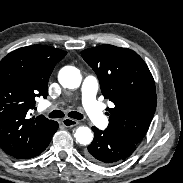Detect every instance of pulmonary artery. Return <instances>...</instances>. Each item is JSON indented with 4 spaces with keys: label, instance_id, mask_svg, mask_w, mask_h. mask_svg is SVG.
<instances>
[{
    "label": "pulmonary artery",
    "instance_id": "pulmonary-artery-1",
    "mask_svg": "<svg viewBox=\"0 0 183 183\" xmlns=\"http://www.w3.org/2000/svg\"><path fill=\"white\" fill-rule=\"evenodd\" d=\"M97 90V79L94 76L85 77L81 86L83 108L93 124L103 127L106 125L107 119L100 102L96 98Z\"/></svg>",
    "mask_w": 183,
    "mask_h": 183
}]
</instances>
